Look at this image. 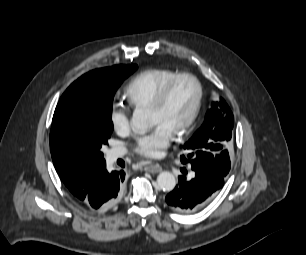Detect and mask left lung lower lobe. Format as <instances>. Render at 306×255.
<instances>
[{
    "label": "left lung lower lobe",
    "instance_id": "obj_1",
    "mask_svg": "<svg viewBox=\"0 0 306 255\" xmlns=\"http://www.w3.org/2000/svg\"><path fill=\"white\" fill-rule=\"evenodd\" d=\"M193 162V160L191 161ZM192 177H178V184L165 198L173 210L180 213H194L204 208L219 193L225 177L204 164H190ZM187 174L186 168H181Z\"/></svg>",
    "mask_w": 306,
    "mask_h": 255
}]
</instances>
